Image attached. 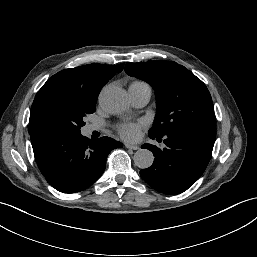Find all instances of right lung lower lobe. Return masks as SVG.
Wrapping results in <instances>:
<instances>
[{
    "label": "right lung lower lobe",
    "mask_w": 257,
    "mask_h": 257,
    "mask_svg": "<svg viewBox=\"0 0 257 257\" xmlns=\"http://www.w3.org/2000/svg\"><path fill=\"white\" fill-rule=\"evenodd\" d=\"M37 165L48 183L60 192L82 191L97 181L111 150L122 143L109 138L95 141L77 134L30 135Z\"/></svg>",
    "instance_id": "right-lung-lower-lobe-1"
}]
</instances>
